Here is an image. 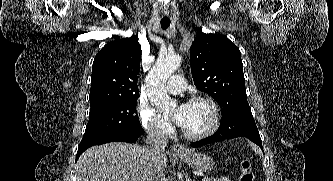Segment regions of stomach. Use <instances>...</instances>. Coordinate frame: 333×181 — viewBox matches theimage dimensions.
<instances>
[{
    "label": "stomach",
    "instance_id": "obj_1",
    "mask_svg": "<svg viewBox=\"0 0 333 181\" xmlns=\"http://www.w3.org/2000/svg\"><path fill=\"white\" fill-rule=\"evenodd\" d=\"M183 162L188 164L191 168L200 171L208 172L212 170L214 162L211 157L201 153H188L185 155H178Z\"/></svg>",
    "mask_w": 333,
    "mask_h": 181
}]
</instances>
